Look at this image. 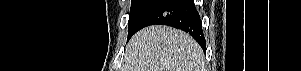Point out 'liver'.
<instances>
[{
    "label": "liver",
    "mask_w": 301,
    "mask_h": 71,
    "mask_svg": "<svg viewBox=\"0 0 301 71\" xmlns=\"http://www.w3.org/2000/svg\"><path fill=\"white\" fill-rule=\"evenodd\" d=\"M124 71H205L199 44L187 33L167 26H149L129 41Z\"/></svg>",
    "instance_id": "1"
}]
</instances>
